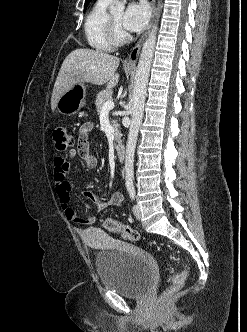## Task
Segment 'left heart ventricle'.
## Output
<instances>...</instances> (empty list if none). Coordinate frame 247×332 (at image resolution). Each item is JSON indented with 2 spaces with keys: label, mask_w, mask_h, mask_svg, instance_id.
I'll return each instance as SVG.
<instances>
[{
  "label": "left heart ventricle",
  "mask_w": 247,
  "mask_h": 332,
  "mask_svg": "<svg viewBox=\"0 0 247 332\" xmlns=\"http://www.w3.org/2000/svg\"><path fill=\"white\" fill-rule=\"evenodd\" d=\"M111 17H112V20L114 22V25L116 27L118 34H120V35L127 34V32L125 31V29L122 26L123 13L122 12L113 13V14H111Z\"/></svg>",
  "instance_id": "obj_1"
}]
</instances>
